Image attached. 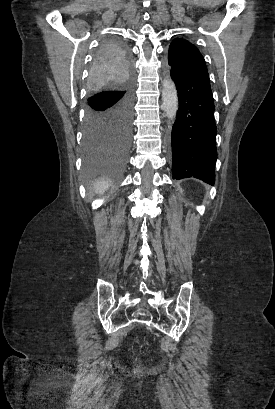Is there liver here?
<instances>
[{
  "instance_id": "liver-1",
  "label": "liver",
  "mask_w": 275,
  "mask_h": 409,
  "mask_svg": "<svg viewBox=\"0 0 275 409\" xmlns=\"http://www.w3.org/2000/svg\"><path fill=\"white\" fill-rule=\"evenodd\" d=\"M109 186V180H98V182H95V186H93L95 192H99V194H102L106 188Z\"/></svg>"
}]
</instances>
